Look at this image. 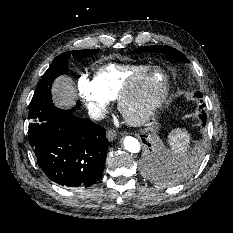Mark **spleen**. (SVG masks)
Here are the masks:
<instances>
[{
	"mask_svg": "<svg viewBox=\"0 0 233 233\" xmlns=\"http://www.w3.org/2000/svg\"><path fill=\"white\" fill-rule=\"evenodd\" d=\"M168 142L175 156H187L190 143V135L186 131L179 128L173 130L168 136Z\"/></svg>",
	"mask_w": 233,
	"mask_h": 233,
	"instance_id": "obj_1",
	"label": "spleen"
}]
</instances>
